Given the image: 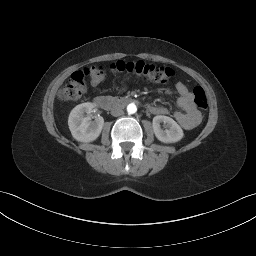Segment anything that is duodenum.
Returning <instances> with one entry per match:
<instances>
[{"label":"duodenum","instance_id":"obj_1","mask_svg":"<svg viewBox=\"0 0 256 256\" xmlns=\"http://www.w3.org/2000/svg\"><path fill=\"white\" fill-rule=\"evenodd\" d=\"M94 101L99 107L106 110H110L116 106H125L131 103H137V100L131 97L110 98L107 96H97Z\"/></svg>","mask_w":256,"mask_h":256}]
</instances>
